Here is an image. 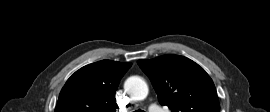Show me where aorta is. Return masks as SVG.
I'll return each instance as SVG.
<instances>
[{"mask_svg":"<svg viewBox=\"0 0 270 112\" xmlns=\"http://www.w3.org/2000/svg\"><path fill=\"white\" fill-rule=\"evenodd\" d=\"M125 90L134 100H143L148 95L147 83L137 76H132L126 80Z\"/></svg>","mask_w":270,"mask_h":112,"instance_id":"1","label":"aorta"}]
</instances>
